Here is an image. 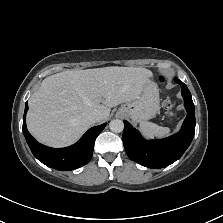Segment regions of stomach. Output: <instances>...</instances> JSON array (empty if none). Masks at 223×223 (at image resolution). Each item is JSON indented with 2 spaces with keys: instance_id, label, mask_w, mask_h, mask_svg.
I'll list each match as a JSON object with an SVG mask.
<instances>
[{
  "instance_id": "0dacf381",
  "label": "stomach",
  "mask_w": 223,
  "mask_h": 223,
  "mask_svg": "<svg viewBox=\"0 0 223 223\" xmlns=\"http://www.w3.org/2000/svg\"><path fill=\"white\" fill-rule=\"evenodd\" d=\"M159 88L152 79H147L140 94L124 104L117 112L118 116L128 117L135 123H142L156 116L159 111Z\"/></svg>"
}]
</instances>
